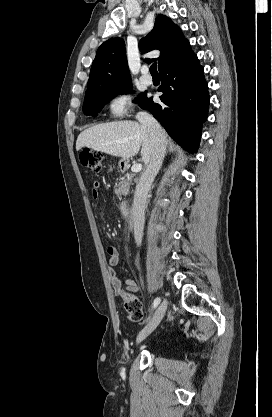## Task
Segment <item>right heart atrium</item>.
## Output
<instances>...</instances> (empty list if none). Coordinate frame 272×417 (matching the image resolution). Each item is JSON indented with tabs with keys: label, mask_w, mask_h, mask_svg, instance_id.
I'll return each instance as SVG.
<instances>
[{
	"label": "right heart atrium",
	"mask_w": 272,
	"mask_h": 417,
	"mask_svg": "<svg viewBox=\"0 0 272 417\" xmlns=\"http://www.w3.org/2000/svg\"><path fill=\"white\" fill-rule=\"evenodd\" d=\"M108 108L116 116L126 115L133 108L131 95L126 91L117 92L109 101Z\"/></svg>",
	"instance_id": "obj_1"
}]
</instances>
